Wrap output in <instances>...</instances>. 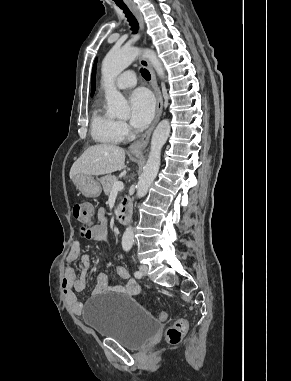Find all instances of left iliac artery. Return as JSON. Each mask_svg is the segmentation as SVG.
Masks as SVG:
<instances>
[{"label":"left iliac artery","instance_id":"44dca946","mask_svg":"<svg viewBox=\"0 0 291 381\" xmlns=\"http://www.w3.org/2000/svg\"><path fill=\"white\" fill-rule=\"evenodd\" d=\"M134 276L136 277V278H141L142 277V273L140 272V271H135L134 272Z\"/></svg>","mask_w":291,"mask_h":381}]
</instances>
